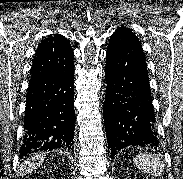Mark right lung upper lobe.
I'll list each match as a JSON object with an SVG mask.
<instances>
[{
  "label": "right lung upper lobe",
  "mask_w": 183,
  "mask_h": 179,
  "mask_svg": "<svg viewBox=\"0 0 183 179\" xmlns=\"http://www.w3.org/2000/svg\"><path fill=\"white\" fill-rule=\"evenodd\" d=\"M74 55L69 41L62 35H50L36 50L31 76L68 74L74 70Z\"/></svg>",
  "instance_id": "obj_1"
}]
</instances>
